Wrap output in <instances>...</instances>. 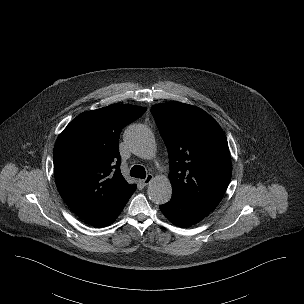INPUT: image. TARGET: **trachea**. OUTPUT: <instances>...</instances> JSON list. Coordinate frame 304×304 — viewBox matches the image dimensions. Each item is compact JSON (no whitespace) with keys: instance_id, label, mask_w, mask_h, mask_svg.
<instances>
[{"instance_id":"obj_1","label":"trachea","mask_w":304,"mask_h":304,"mask_svg":"<svg viewBox=\"0 0 304 304\" xmlns=\"http://www.w3.org/2000/svg\"><path fill=\"white\" fill-rule=\"evenodd\" d=\"M130 176L144 179L146 176L145 168L140 165L133 166L130 171Z\"/></svg>"}]
</instances>
